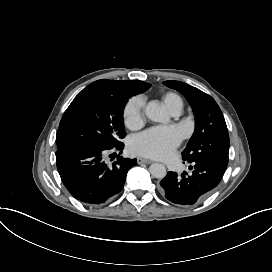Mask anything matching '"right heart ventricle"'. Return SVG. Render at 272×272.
I'll return each instance as SVG.
<instances>
[{
    "label": "right heart ventricle",
    "instance_id": "1",
    "mask_svg": "<svg viewBox=\"0 0 272 272\" xmlns=\"http://www.w3.org/2000/svg\"><path fill=\"white\" fill-rule=\"evenodd\" d=\"M178 101H182L181 98L173 93H169L164 97L165 105L171 113Z\"/></svg>",
    "mask_w": 272,
    "mask_h": 272
}]
</instances>
